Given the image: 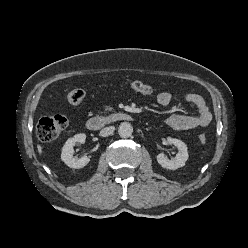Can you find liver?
Returning a JSON list of instances; mask_svg holds the SVG:
<instances>
[{"label":"liver","instance_id":"liver-1","mask_svg":"<svg viewBox=\"0 0 248 248\" xmlns=\"http://www.w3.org/2000/svg\"><path fill=\"white\" fill-rule=\"evenodd\" d=\"M37 148H38L39 154H42V148H41V146L38 145Z\"/></svg>","mask_w":248,"mask_h":248}]
</instances>
